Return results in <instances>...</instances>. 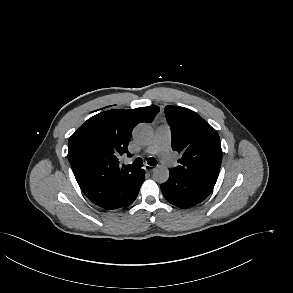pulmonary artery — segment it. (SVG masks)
Returning <instances> with one entry per match:
<instances>
[{
    "label": "pulmonary artery",
    "mask_w": 293,
    "mask_h": 293,
    "mask_svg": "<svg viewBox=\"0 0 293 293\" xmlns=\"http://www.w3.org/2000/svg\"><path fill=\"white\" fill-rule=\"evenodd\" d=\"M171 130L167 124H163L156 129L155 137L147 147V154H156L165 164H171L173 157L170 153Z\"/></svg>",
    "instance_id": "obj_1"
}]
</instances>
